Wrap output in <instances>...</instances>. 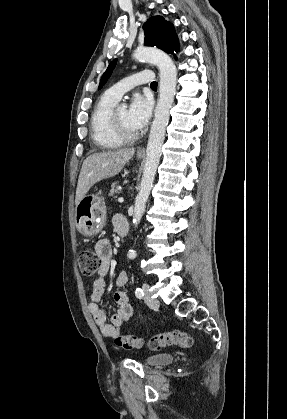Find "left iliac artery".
I'll use <instances>...</instances> for the list:
<instances>
[{"label":"left iliac artery","instance_id":"44dca946","mask_svg":"<svg viewBox=\"0 0 287 419\" xmlns=\"http://www.w3.org/2000/svg\"><path fill=\"white\" fill-rule=\"evenodd\" d=\"M135 295H136V297L138 298V299H142L143 298V296H144V292H143V290L141 289V288H136V290H135Z\"/></svg>","mask_w":287,"mask_h":419}]
</instances>
